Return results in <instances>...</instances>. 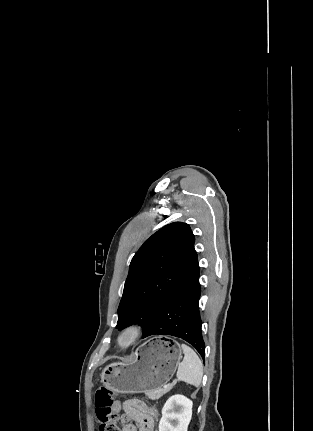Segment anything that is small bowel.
Wrapping results in <instances>:
<instances>
[{
    "instance_id": "obj_1",
    "label": "small bowel",
    "mask_w": 313,
    "mask_h": 431,
    "mask_svg": "<svg viewBox=\"0 0 313 431\" xmlns=\"http://www.w3.org/2000/svg\"><path fill=\"white\" fill-rule=\"evenodd\" d=\"M113 410L121 413L119 418L122 425L121 431H153L154 429V416L148 406L140 400L116 401L113 404Z\"/></svg>"
}]
</instances>
